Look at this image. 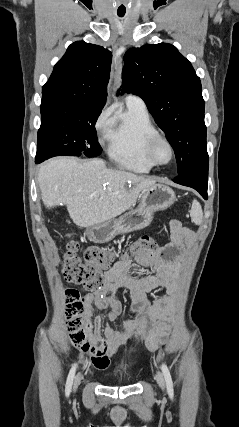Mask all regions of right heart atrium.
<instances>
[{
	"mask_svg": "<svg viewBox=\"0 0 239 427\" xmlns=\"http://www.w3.org/2000/svg\"><path fill=\"white\" fill-rule=\"evenodd\" d=\"M110 122H111L110 111L109 110L103 111L100 114V116L97 118L95 123V128L97 132L105 136L106 132L109 129Z\"/></svg>",
	"mask_w": 239,
	"mask_h": 427,
	"instance_id": "right-heart-atrium-1",
	"label": "right heart atrium"
}]
</instances>
